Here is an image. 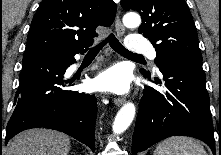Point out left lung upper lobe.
<instances>
[{"label": "left lung upper lobe", "mask_w": 221, "mask_h": 155, "mask_svg": "<svg viewBox=\"0 0 221 155\" xmlns=\"http://www.w3.org/2000/svg\"><path fill=\"white\" fill-rule=\"evenodd\" d=\"M121 6L140 13L138 32L154 45L157 66L171 57L202 61L196 28L184 0H121Z\"/></svg>", "instance_id": "obj_1"}]
</instances>
